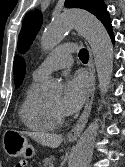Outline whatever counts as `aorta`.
Wrapping results in <instances>:
<instances>
[{"label":"aorta","mask_w":125,"mask_h":167,"mask_svg":"<svg viewBox=\"0 0 125 167\" xmlns=\"http://www.w3.org/2000/svg\"><path fill=\"white\" fill-rule=\"evenodd\" d=\"M72 28H76L91 46L99 88L102 93L107 92L113 70V46L107 30L96 17L85 11L63 13L44 30L41 37L42 47L47 50L53 49ZM60 92L61 85L52 80L47 87L46 95L54 96ZM97 121L91 123L80 137L72 152L69 167H89L97 135Z\"/></svg>","instance_id":"obj_1"}]
</instances>
